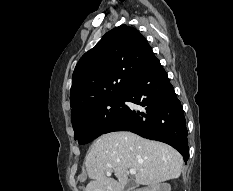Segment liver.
<instances>
[{"label": "liver", "mask_w": 233, "mask_h": 191, "mask_svg": "<svg viewBox=\"0 0 233 191\" xmlns=\"http://www.w3.org/2000/svg\"><path fill=\"white\" fill-rule=\"evenodd\" d=\"M182 165L180 153L162 142L126 131L103 134L86 155L85 166L92 181L85 191H123L129 169L137 171V185L154 186L179 178ZM111 172L118 181L108 177Z\"/></svg>", "instance_id": "6515ba94"}]
</instances>
